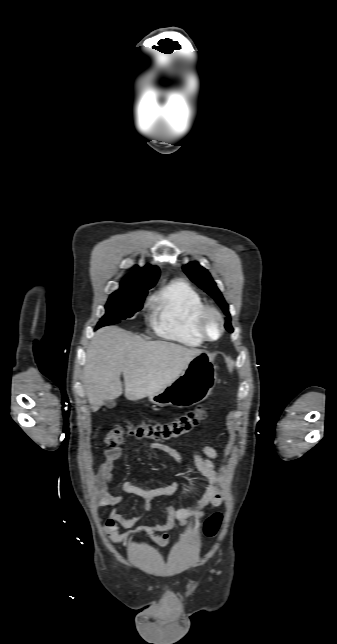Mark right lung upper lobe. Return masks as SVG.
<instances>
[{
	"label": "right lung upper lobe",
	"mask_w": 337,
	"mask_h": 644,
	"mask_svg": "<svg viewBox=\"0 0 337 644\" xmlns=\"http://www.w3.org/2000/svg\"><path fill=\"white\" fill-rule=\"evenodd\" d=\"M160 271L157 267L146 265L142 268L135 266L133 274L121 283V289L137 288L146 289L153 287L158 280Z\"/></svg>",
	"instance_id": "cb5924a9"
}]
</instances>
